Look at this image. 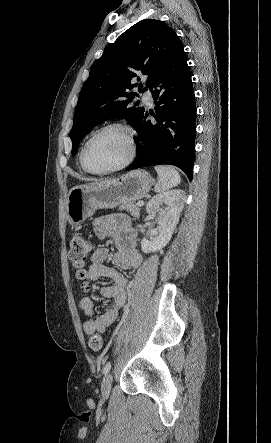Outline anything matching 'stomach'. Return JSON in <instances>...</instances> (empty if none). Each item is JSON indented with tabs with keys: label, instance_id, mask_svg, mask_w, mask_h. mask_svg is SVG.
Segmentation results:
<instances>
[{
	"label": "stomach",
	"instance_id": "0dacf381",
	"mask_svg": "<svg viewBox=\"0 0 271 443\" xmlns=\"http://www.w3.org/2000/svg\"><path fill=\"white\" fill-rule=\"evenodd\" d=\"M151 186L153 180L145 170H134L108 182L74 186L67 196V222L77 227L100 208H117L124 202L142 200Z\"/></svg>",
	"mask_w": 271,
	"mask_h": 443
}]
</instances>
